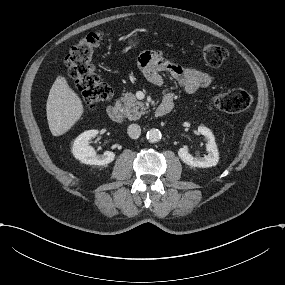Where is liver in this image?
Instances as JSON below:
<instances>
[{
	"mask_svg": "<svg viewBox=\"0 0 285 285\" xmlns=\"http://www.w3.org/2000/svg\"><path fill=\"white\" fill-rule=\"evenodd\" d=\"M47 120L54 137L70 131L83 117L84 104L79 94L73 90L66 77L59 74L49 92Z\"/></svg>",
	"mask_w": 285,
	"mask_h": 285,
	"instance_id": "liver-1",
	"label": "liver"
}]
</instances>
